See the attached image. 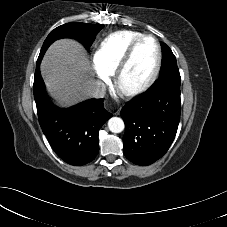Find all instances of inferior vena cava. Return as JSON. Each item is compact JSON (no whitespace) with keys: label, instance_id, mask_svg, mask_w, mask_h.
<instances>
[{"label":"inferior vena cava","instance_id":"602c4592","mask_svg":"<svg viewBox=\"0 0 227 227\" xmlns=\"http://www.w3.org/2000/svg\"><path fill=\"white\" fill-rule=\"evenodd\" d=\"M105 93H106V86L101 81L94 82L89 90L90 96L94 98H103L105 96Z\"/></svg>","mask_w":227,"mask_h":227}]
</instances>
